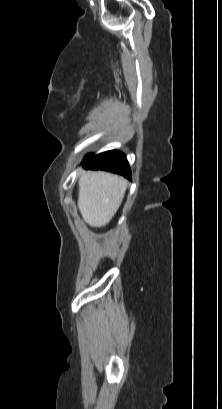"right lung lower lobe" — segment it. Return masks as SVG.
<instances>
[{
	"label": "right lung lower lobe",
	"instance_id": "obj_1",
	"mask_svg": "<svg viewBox=\"0 0 222 409\" xmlns=\"http://www.w3.org/2000/svg\"><path fill=\"white\" fill-rule=\"evenodd\" d=\"M83 167L91 170H105L121 174L131 179V171L126 156L119 151H107L83 161Z\"/></svg>",
	"mask_w": 222,
	"mask_h": 409
}]
</instances>
